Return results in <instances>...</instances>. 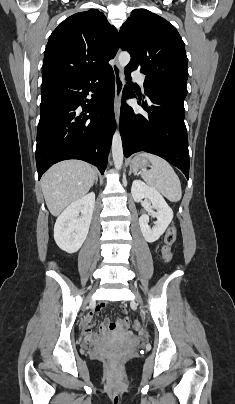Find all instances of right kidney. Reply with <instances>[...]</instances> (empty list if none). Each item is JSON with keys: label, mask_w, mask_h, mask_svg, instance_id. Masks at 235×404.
Here are the masks:
<instances>
[{"label": "right kidney", "mask_w": 235, "mask_h": 404, "mask_svg": "<svg viewBox=\"0 0 235 404\" xmlns=\"http://www.w3.org/2000/svg\"><path fill=\"white\" fill-rule=\"evenodd\" d=\"M94 205L95 194L91 192L71 203L58 217L54 239L60 249L75 253L81 248L89 231Z\"/></svg>", "instance_id": "ca27d5eb"}]
</instances>
